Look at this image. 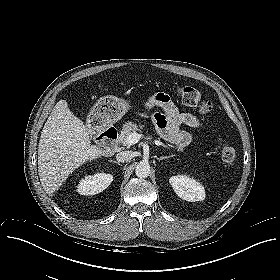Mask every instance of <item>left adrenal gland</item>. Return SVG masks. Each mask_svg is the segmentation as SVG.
Returning a JSON list of instances; mask_svg holds the SVG:
<instances>
[{"label": "left adrenal gland", "instance_id": "obj_1", "mask_svg": "<svg viewBox=\"0 0 280 280\" xmlns=\"http://www.w3.org/2000/svg\"><path fill=\"white\" fill-rule=\"evenodd\" d=\"M174 155H170V156H161V157H158L157 160L158 161H161V160H164V159H168L170 157H173Z\"/></svg>", "mask_w": 280, "mask_h": 280}]
</instances>
